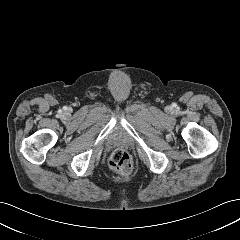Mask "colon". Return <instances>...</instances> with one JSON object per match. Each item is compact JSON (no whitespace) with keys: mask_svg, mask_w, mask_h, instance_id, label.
<instances>
[{"mask_svg":"<svg viewBox=\"0 0 240 240\" xmlns=\"http://www.w3.org/2000/svg\"><path fill=\"white\" fill-rule=\"evenodd\" d=\"M109 165L115 172L127 175L131 173L133 169V160L126 150L117 149L111 154Z\"/></svg>","mask_w":240,"mask_h":240,"instance_id":"1","label":"colon"}]
</instances>
